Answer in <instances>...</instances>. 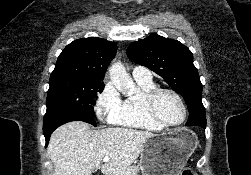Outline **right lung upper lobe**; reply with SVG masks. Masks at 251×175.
<instances>
[{
  "instance_id": "right-lung-upper-lobe-1",
  "label": "right lung upper lobe",
  "mask_w": 251,
  "mask_h": 175,
  "mask_svg": "<svg viewBox=\"0 0 251 175\" xmlns=\"http://www.w3.org/2000/svg\"><path fill=\"white\" fill-rule=\"evenodd\" d=\"M116 51L115 43L102 38L74 40L59 55L50 79L104 86L101 80Z\"/></svg>"
}]
</instances>
